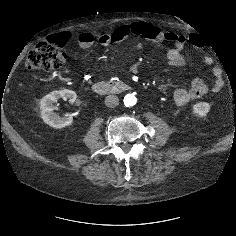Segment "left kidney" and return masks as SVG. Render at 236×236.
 I'll use <instances>...</instances> for the list:
<instances>
[{"label":"left kidney","instance_id":"obj_1","mask_svg":"<svg viewBox=\"0 0 236 236\" xmlns=\"http://www.w3.org/2000/svg\"><path fill=\"white\" fill-rule=\"evenodd\" d=\"M211 105L207 102H199L192 106V112L198 117H204L210 111Z\"/></svg>","mask_w":236,"mask_h":236}]
</instances>
